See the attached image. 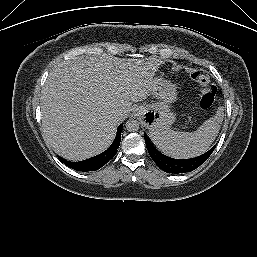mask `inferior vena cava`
<instances>
[{"mask_svg": "<svg viewBox=\"0 0 257 257\" xmlns=\"http://www.w3.org/2000/svg\"><path fill=\"white\" fill-rule=\"evenodd\" d=\"M114 119L119 120L120 119V115L114 116Z\"/></svg>", "mask_w": 257, "mask_h": 257, "instance_id": "602c4592", "label": "inferior vena cava"}]
</instances>
